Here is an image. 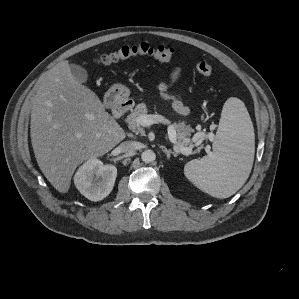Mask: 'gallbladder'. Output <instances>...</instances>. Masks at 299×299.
<instances>
[{"instance_id":"bac80fb5","label":"gallbladder","mask_w":299,"mask_h":299,"mask_svg":"<svg viewBox=\"0 0 299 299\" xmlns=\"http://www.w3.org/2000/svg\"><path fill=\"white\" fill-rule=\"evenodd\" d=\"M70 70L72 76L75 78L76 81L79 83H86L88 81V72L85 68L77 64H71Z\"/></svg>"}]
</instances>
